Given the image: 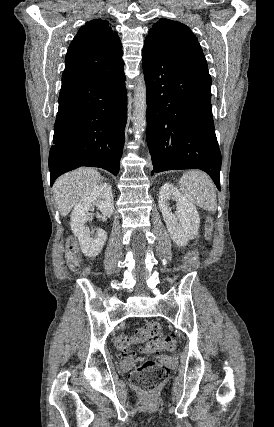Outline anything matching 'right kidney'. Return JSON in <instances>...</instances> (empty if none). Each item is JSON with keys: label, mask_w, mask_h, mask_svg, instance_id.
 <instances>
[{"label": "right kidney", "mask_w": 274, "mask_h": 427, "mask_svg": "<svg viewBox=\"0 0 274 427\" xmlns=\"http://www.w3.org/2000/svg\"><path fill=\"white\" fill-rule=\"evenodd\" d=\"M92 204L100 210L101 217H110L113 214V194L109 184L94 186L91 192L82 196L80 202L74 206L71 212V229L74 235L78 237L83 253L88 257H96L107 239V233L104 229H97L95 237H90V231L85 227L90 215L88 210L92 208Z\"/></svg>", "instance_id": "1"}]
</instances>
